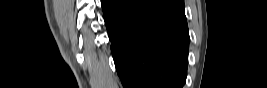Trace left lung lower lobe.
<instances>
[{"label": "left lung lower lobe", "instance_id": "left-lung-lower-lobe-1", "mask_svg": "<svg viewBox=\"0 0 267 88\" xmlns=\"http://www.w3.org/2000/svg\"><path fill=\"white\" fill-rule=\"evenodd\" d=\"M124 88H182L189 33L183 0H102Z\"/></svg>", "mask_w": 267, "mask_h": 88}]
</instances>
